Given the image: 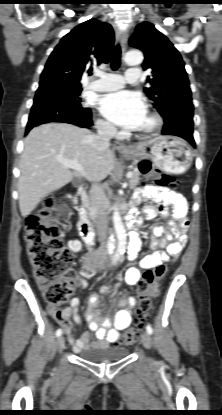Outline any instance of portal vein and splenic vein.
<instances>
[{
    "mask_svg": "<svg viewBox=\"0 0 222 415\" xmlns=\"http://www.w3.org/2000/svg\"><path fill=\"white\" fill-rule=\"evenodd\" d=\"M59 160V162L64 166V167H67V168H71V169H74V170H77V171H79L83 176H86V173H85V171H84V168L78 163V162H76V161H72V160H66V159H62V158H59L58 159ZM132 172L131 171H129L128 173H127V175H126V177L129 179V178H131L132 177Z\"/></svg>",
    "mask_w": 222,
    "mask_h": 415,
    "instance_id": "portal-vein-and-splenic-vein-1",
    "label": "portal vein and splenic vein"
}]
</instances>
